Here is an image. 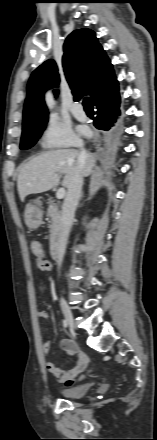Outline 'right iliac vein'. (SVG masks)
Segmentation results:
<instances>
[{"label":"right iliac vein","mask_w":157,"mask_h":440,"mask_svg":"<svg viewBox=\"0 0 157 440\" xmlns=\"http://www.w3.org/2000/svg\"><path fill=\"white\" fill-rule=\"evenodd\" d=\"M60 305L67 324L70 326V328L74 329V319L70 307L63 299H61Z\"/></svg>","instance_id":"obj_1"}]
</instances>
